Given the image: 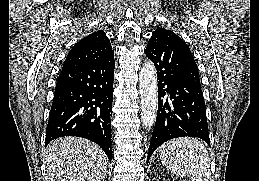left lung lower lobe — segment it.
Returning <instances> with one entry per match:
<instances>
[{"label":"left lung lower lobe","mask_w":259,"mask_h":181,"mask_svg":"<svg viewBox=\"0 0 259 181\" xmlns=\"http://www.w3.org/2000/svg\"><path fill=\"white\" fill-rule=\"evenodd\" d=\"M146 56L154 63L159 80L158 111L148 160L160 145L177 137H198L210 145L203 92L183 71L179 41L167 37L148 42Z\"/></svg>","instance_id":"obj_1"}]
</instances>
